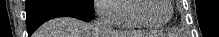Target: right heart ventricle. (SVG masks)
Instances as JSON below:
<instances>
[{"mask_svg": "<svg viewBox=\"0 0 219 37\" xmlns=\"http://www.w3.org/2000/svg\"><path fill=\"white\" fill-rule=\"evenodd\" d=\"M132 0H126L123 1L121 4V9L123 11V17L120 21V24H122L124 27L127 28H141L137 22L134 21V19L131 17L130 14V7H131Z\"/></svg>", "mask_w": 219, "mask_h": 37, "instance_id": "obj_1", "label": "right heart ventricle"}]
</instances>
